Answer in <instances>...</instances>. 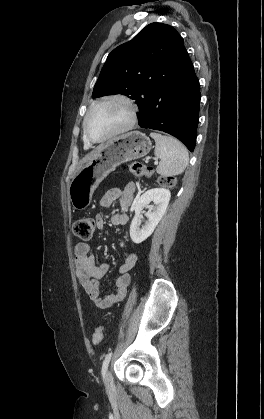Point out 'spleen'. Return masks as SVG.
Wrapping results in <instances>:
<instances>
[{
	"mask_svg": "<svg viewBox=\"0 0 264 419\" xmlns=\"http://www.w3.org/2000/svg\"><path fill=\"white\" fill-rule=\"evenodd\" d=\"M150 136L155 140L154 154L160 159L156 168L162 176H175L181 174L188 165L189 155L185 146L176 138L151 132Z\"/></svg>",
	"mask_w": 264,
	"mask_h": 419,
	"instance_id": "obj_1",
	"label": "spleen"
}]
</instances>
